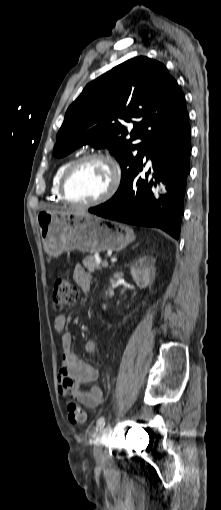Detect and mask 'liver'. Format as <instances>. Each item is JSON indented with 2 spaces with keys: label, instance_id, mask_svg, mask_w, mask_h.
Listing matches in <instances>:
<instances>
[{
  "label": "liver",
  "instance_id": "6515ba94",
  "mask_svg": "<svg viewBox=\"0 0 221 510\" xmlns=\"http://www.w3.org/2000/svg\"><path fill=\"white\" fill-rule=\"evenodd\" d=\"M48 211H52V210H48ZM57 212H59V211H57ZM63 213L86 214L85 212H81V211H75V212H63Z\"/></svg>",
  "mask_w": 221,
  "mask_h": 510
}]
</instances>
